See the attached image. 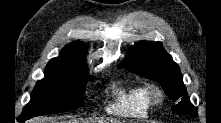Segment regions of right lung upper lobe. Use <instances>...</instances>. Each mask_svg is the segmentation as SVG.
I'll list each match as a JSON object with an SVG mask.
<instances>
[{
	"label": "right lung upper lobe",
	"mask_w": 221,
	"mask_h": 123,
	"mask_svg": "<svg viewBox=\"0 0 221 123\" xmlns=\"http://www.w3.org/2000/svg\"><path fill=\"white\" fill-rule=\"evenodd\" d=\"M87 50L81 42H73L61 51L59 57L50 60L48 65H70L79 69L88 70L85 62Z\"/></svg>",
	"instance_id": "obj_1"
}]
</instances>
